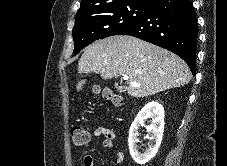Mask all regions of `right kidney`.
<instances>
[{"label":"right kidney","instance_id":"right-kidney-1","mask_svg":"<svg viewBox=\"0 0 227 166\" xmlns=\"http://www.w3.org/2000/svg\"><path fill=\"white\" fill-rule=\"evenodd\" d=\"M150 120V124L146 127L150 132L148 148L144 153L138 151V130L140 126H144L145 121ZM164 131V108L155 101L149 102L138 113L137 117L133 121L129 130V150L132 158L138 164H145L151 160L157 153L163 136Z\"/></svg>","mask_w":227,"mask_h":166}]
</instances>
